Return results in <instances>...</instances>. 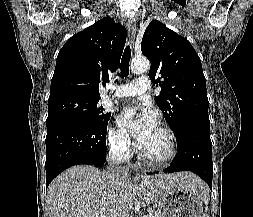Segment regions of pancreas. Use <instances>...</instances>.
I'll return each instance as SVG.
<instances>
[{
  "instance_id": "cf45deb5",
  "label": "pancreas",
  "mask_w": 253,
  "mask_h": 217,
  "mask_svg": "<svg viewBox=\"0 0 253 217\" xmlns=\"http://www.w3.org/2000/svg\"><path fill=\"white\" fill-rule=\"evenodd\" d=\"M149 216L150 217H160L159 213L157 211H154V210L149 211Z\"/></svg>"
}]
</instances>
